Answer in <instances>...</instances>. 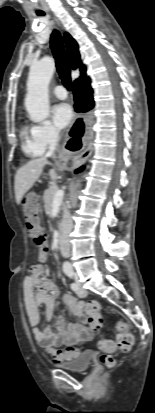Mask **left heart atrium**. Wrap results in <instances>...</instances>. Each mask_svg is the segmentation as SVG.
Segmentation results:
<instances>
[{
    "mask_svg": "<svg viewBox=\"0 0 155 413\" xmlns=\"http://www.w3.org/2000/svg\"><path fill=\"white\" fill-rule=\"evenodd\" d=\"M73 112L70 105L62 103L57 105L53 111V121L57 128H65L72 120Z\"/></svg>",
    "mask_w": 155,
    "mask_h": 413,
    "instance_id": "left-heart-atrium-1",
    "label": "left heart atrium"
}]
</instances>
